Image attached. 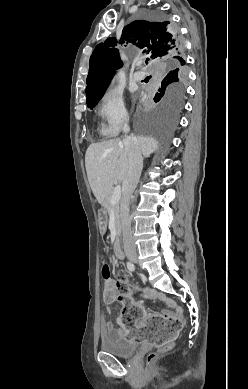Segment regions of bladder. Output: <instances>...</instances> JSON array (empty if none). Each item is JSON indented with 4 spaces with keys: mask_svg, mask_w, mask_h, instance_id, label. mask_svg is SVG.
<instances>
[{
    "mask_svg": "<svg viewBox=\"0 0 248 389\" xmlns=\"http://www.w3.org/2000/svg\"><path fill=\"white\" fill-rule=\"evenodd\" d=\"M100 348L107 354L127 358L138 350L139 344L126 340L124 336L114 332L112 334L100 336Z\"/></svg>",
    "mask_w": 248,
    "mask_h": 389,
    "instance_id": "31cf9c89",
    "label": "bladder"
}]
</instances>
